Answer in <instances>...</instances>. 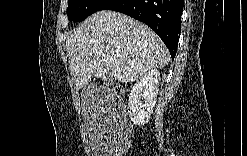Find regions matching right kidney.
I'll list each match as a JSON object with an SVG mask.
<instances>
[{
  "label": "right kidney",
  "instance_id": "ca27d5eb",
  "mask_svg": "<svg viewBox=\"0 0 247 156\" xmlns=\"http://www.w3.org/2000/svg\"><path fill=\"white\" fill-rule=\"evenodd\" d=\"M160 81L157 69L147 71L132 87L128 100V114L138 126L146 124L155 107Z\"/></svg>",
  "mask_w": 247,
  "mask_h": 156
}]
</instances>
